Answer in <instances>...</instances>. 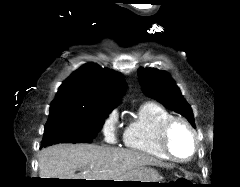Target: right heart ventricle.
Masks as SVG:
<instances>
[{
  "label": "right heart ventricle",
  "mask_w": 240,
  "mask_h": 187,
  "mask_svg": "<svg viewBox=\"0 0 240 187\" xmlns=\"http://www.w3.org/2000/svg\"><path fill=\"white\" fill-rule=\"evenodd\" d=\"M172 117L168 110L157 103L142 104L137 117L123 133L125 147L150 157L169 160L170 157L161 147L160 133L163 124Z\"/></svg>",
  "instance_id": "1"
}]
</instances>
